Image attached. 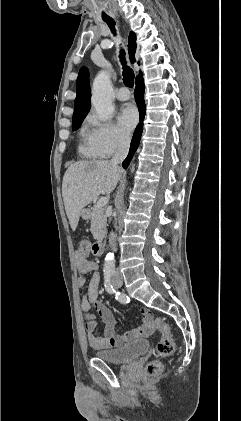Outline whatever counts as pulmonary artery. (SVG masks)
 <instances>
[{
	"label": "pulmonary artery",
	"mask_w": 241,
	"mask_h": 421,
	"mask_svg": "<svg viewBox=\"0 0 241 421\" xmlns=\"http://www.w3.org/2000/svg\"><path fill=\"white\" fill-rule=\"evenodd\" d=\"M115 97L120 101H125L130 98V93L127 88L122 87L116 92Z\"/></svg>",
	"instance_id": "1"
}]
</instances>
